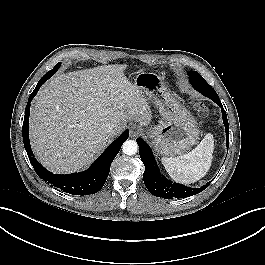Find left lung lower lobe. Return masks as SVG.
Wrapping results in <instances>:
<instances>
[{
	"label": "left lung lower lobe",
	"instance_id": "0a47b994",
	"mask_svg": "<svg viewBox=\"0 0 265 265\" xmlns=\"http://www.w3.org/2000/svg\"><path fill=\"white\" fill-rule=\"evenodd\" d=\"M190 83L194 87L195 90L202 93L204 96L213 100L216 104L221 107L223 123L225 125L226 130V146H229V124L227 120L226 112L222 106V103L216 93V91L205 81V79H194L190 80ZM137 143L139 146V154L142 162L145 166V172L143 174V180L146 188L149 190L151 194L157 197L162 198H186L195 194H198L205 190L210 183L200 187V188H190L184 185L173 183L170 180L166 179L163 175H161L153 153L150 147L142 140L141 138H137Z\"/></svg>",
	"mask_w": 265,
	"mask_h": 265
}]
</instances>
